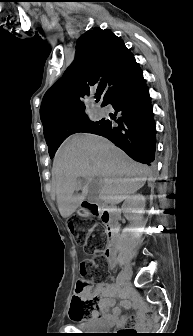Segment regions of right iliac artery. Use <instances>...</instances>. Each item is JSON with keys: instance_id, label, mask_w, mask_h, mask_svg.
<instances>
[{"instance_id": "right-iliac-artery-1", "label": "right iliac artery", "mask_w": 193, "mask_h": 336, "mask_svg": "<svg viewBox=\"0 0 193 336\" xmlns=\"http://www.w3.org/2000/svg\"><path fill=\"white\" fill-rule=\"evenodd\" d=\"M122 284V274L121 272L118 274L117 278H116V286ZM117 288L114 289V293L115 295L117 294Z\"/></svg>"}]
</instances>
